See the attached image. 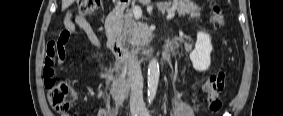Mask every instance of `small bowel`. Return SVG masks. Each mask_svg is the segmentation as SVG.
I'll list each match as a JSON object with an SVG mask.
<instances>
[{
	"instance_id": "c3829d8e",
	"label": "small bowel",
	"mask_w": 283,
	"mask_h": 116,
	"mask_svg": "<svg viewBox=\"0 0 283 116\" xmlns=\"http://www.w3.org/2000/svg\"><path fill=\"white\" fill-rule=\"evenodd\" d=\"M64 27L65 31L68 33V38L70 34L76 35L77 28H81L87 34L90 43L93 46L99 47L100 41L95 35L92 27L88 23V21L82 16H73L71 12H67L64 18ZM67 42V41H66ZM62 40V36L58 42H52L47 46V54L44 61V75L49 77H54L55 67L57 66L60 70L64 72H69V70L65 67L66 61V52H65V44ZM109 114V110L107 107H103L98 111V116H107Z\"/></svg>"
}]
</instances>
